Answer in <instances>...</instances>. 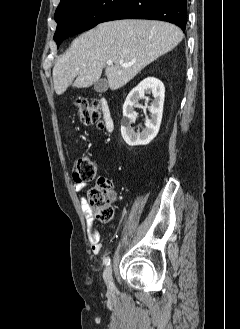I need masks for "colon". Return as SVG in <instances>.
<instances>
[{
  "label": "colon",
  "instance_id": "colon-1",
  "mask_svg": "<svg viewBox=\"0 0 240 329\" xmlns=\"http://www.w3.org/2000/svg\"><path fill=\"white\" fill-rule=\"evenodd\" d=\"M77 106L78 120L82 125L101 124L97 100L92 102L78 100ZM72 177L75 183L82 184L96 179L97 165L94 159L88 156L78 158L72 170ZM113 199V183L105 177L98 178L96 186L87 192L88 206L93 211L95 218L102 223L109 222L114 218Z\"/></svg>",
  "mask_w": 240,
  "mask_h": 329
}]
</instances>
